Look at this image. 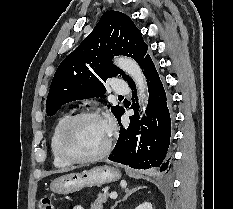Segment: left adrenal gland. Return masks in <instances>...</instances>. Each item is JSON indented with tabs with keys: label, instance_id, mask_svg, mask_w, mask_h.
<instances>
[{
	"label": "left adrenal gland",
	"instance_id": "left-adrenal-gland-1",
	"mask_svg": "<svg viewBox=\"0 0 233 209\" xmlns=\"http://www.w3.org/2000/svg\"><path fill=\"white\" fill-rule=\"evenodd\" d=\"M140 189H141V187L132 188V189H128V188L125 189L126 195L124 196V198H123L122 200L117 201V202L114 204V206L111 207V209H114V208L117 206L118 203L127 200V198H128L131 194H133L134 192H136V191H138V190H140Z\"/></svg>",
	"mask_w": 233,
	"mask_h": 209
}]
</instances>
